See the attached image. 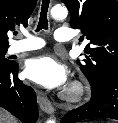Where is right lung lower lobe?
<instances>
[{
	"label": "right lung lower lobe",
	"instance_id": "right-lung-lower-lobe-1",
	"mask_svg": "<svg viewBox=\"0 0 118 123\" xmlns=\"http://www.w3.org/2000/svg\"><path fill=\"white\" fill-rule=\"evenodd\" d=\"M18 64L0 68V106L23 123H35L38 107L34 90L17 77Z\"/></svg>",
	"mask_w": 118,
	"mask_h": 123
}]
</instances>
